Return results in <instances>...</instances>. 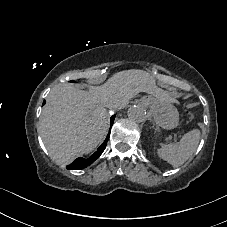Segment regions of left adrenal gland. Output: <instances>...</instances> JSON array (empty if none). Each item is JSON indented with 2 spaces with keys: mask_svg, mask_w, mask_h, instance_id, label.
Here are the masks:
<instances>
[{
  "mask_svg": "<svg viewBox=\"0 0 227 227\" xmlns=\"http://www.w3.org/2000/svg\"><path fill=\"white\" fill-rule=\"evenodd\" d=\"M152 128L155 129L158 132L160 131V128L158 126H156V127L155 126H152Z\"/></svg>",
  "mask_w": 227,
  "mask_h": 227,
  "instance_id": "1",
  "label": "left adrenal gland"
}]
</instances>
